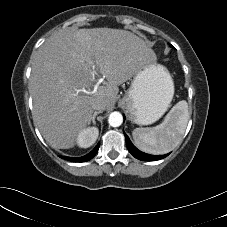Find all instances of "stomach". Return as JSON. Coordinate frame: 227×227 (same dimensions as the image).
<instances>
[{
  "mask_svg": "<svg viewBox=\"0 0 227 227\" xmlns=\"http://www.w3.org/2000/svg\"><path fill=\"white\" fill-rule=\"evenodd\" d=\"M173 95L174 83L167 68L148 62L134 75L122 103L133 123L149 125L167 111Z\"/></svg>",
  "mask_w": 227,
  "mask_h": 227,
  "instance_id": "stomach-1",
  "label": "stomach"
}]
</instances>
